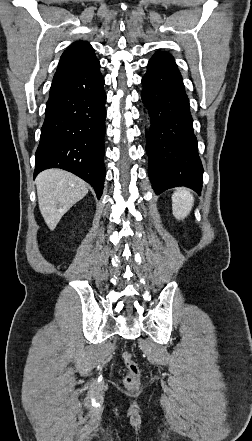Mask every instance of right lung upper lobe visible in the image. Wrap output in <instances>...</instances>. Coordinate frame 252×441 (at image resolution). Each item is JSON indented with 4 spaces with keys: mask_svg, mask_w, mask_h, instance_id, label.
I'll use <instances>...</instances> for the list:
<instances>
[{
    "mask_svg": "<svg viewBox=\"0 0 252 441\" xmlns=\"http://www.w3.org/2000/svg\"><path fill=\"white\" fill-rule=\"evenodd\" d=\"M96 62H98V60L92 46L88 42H74L62 54L53 80Z\"/></svg>",
    "mask_w": 252,
    "mask_h": 441,
    "instance_id": "1",
    "label": "right lung upper lobe"
}]
</instances>
